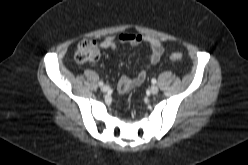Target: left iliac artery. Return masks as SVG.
<instances>
[{"instance_id": "44dca946", "label": "left iliac artery", "mask_w": 248, "mask_h": 165, "mask_svg": "<svg viewBox=\"0 0 248 165\" xmlns=\"http://www.w3.org/2000/svg\"><path fill=\"white\" fill-rule=\"evenodd\" d=\"M151 82H152L153 84H155V83H156V79L153 78V79L151 80Z\"/></svg>"}]
</instances>
